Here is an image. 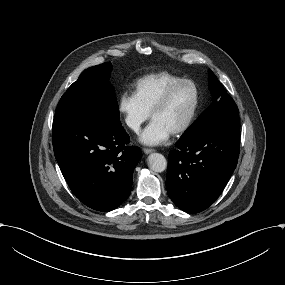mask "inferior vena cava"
<instances>
[{
    "label": "inferior vena cava",
    "mask_w": 285,
    "mask_h": 285,
    "mask_svg": "<svg viewBox=\"0 0 285 285\" xmlns=\"http://www.w3.org/2000/svg\"><path fill=\"white\" fill-rule=\"evenodd\" d=\"M126 123L132 129L138 126L137 122L136 121L133 122L129 117L126 118Z\"/></svg>",
    "instance_id": "obj_1"
}]
</instances>
